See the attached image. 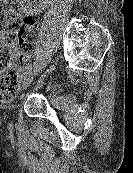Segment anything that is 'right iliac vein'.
Listing matches in <instances>:
<instances>
[{"mask_svg":"<svg viewBox=\"0 0 133 173\" xmlns=\"http://www.w3.org/2000/svg\"><path fill=\"white\" fill-rule=\"evenodd\" d=\"M34 77V73L33 72H29L24 76V80H23V85H28L31 83V81L33 80Z\"/></svg>","mask_w":133,"mask_h":173,"instance_id":"obj_1","label":"right iliac vein"}]
</instances>
